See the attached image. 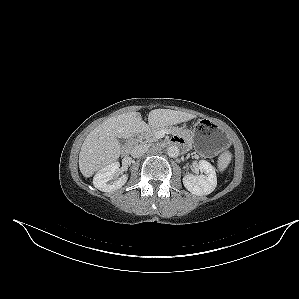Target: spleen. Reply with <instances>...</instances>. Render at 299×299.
Returning a JSON list of instances; mask_svg holds the SVG:
<instances>
[{
  "mask_svg": "<svg viewBox=\"0 0 299 299\" xmlns=\"http://www.w3.org/2000/svg\"><path fill=\"white\" fill-rule=\"evenodd\" d=\"M232 154L229 151L223 152L219 157H218V169L219 171H224L229 163L231 162Z\"/></svg>",
  "mask_w": 299,
  "mask_h": 299,
  "instance_id": "3e777b00",
  "label": "spleen"
}]
</instances>
